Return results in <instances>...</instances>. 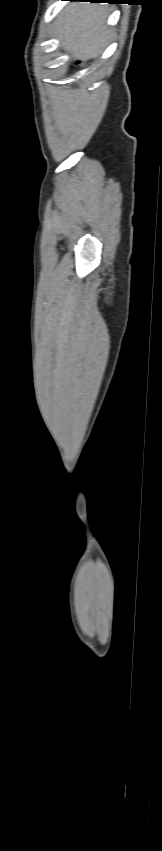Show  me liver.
Instances as JSON below:
<instances>
[{
	"label": "liver",
	"instance_id": "liver-1",
	"mask_svg": "<svg viewBox=\"0 0 162 851\" xmlns=\"http://www.w3.org/2000/svg\"><path fill=\"white\" fill-rule=\"evenodd\" d=\"M107 10L87 2L68 4L54 25L61 48L82 61L99 57L111 36L106 27Z\"/></svg>",
	"mask_w": 162,
	"mask_h": 851
}]
</instances>
